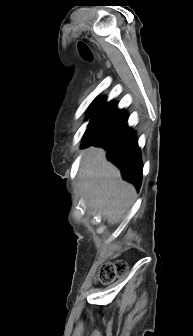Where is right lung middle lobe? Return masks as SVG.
<instances>
[{
  "label": "right lung middle lobe",
  "instance_id": "right-lung-middle-lobe-1",
  "mask_svg": "<svg viewBox=\"0 0 193 336\" xmlns=\"http://www.w3.org/2000/svg\"><path fill=\"white\" fill-rule=\"evenodd\" d=\"M113 111L114 109H109L104 113H102L99 118L91 121V123L88 126V129L84 134V141L92 140L103 132L105 125L107 124V121L110 118Z\"/></svg>",
  "mask_w": 193,
  "mask_h": 336
}]
</instances>
